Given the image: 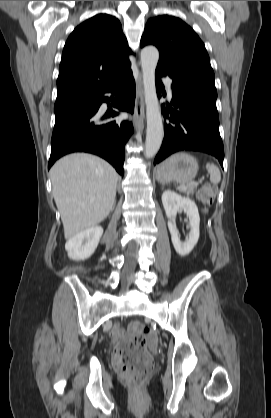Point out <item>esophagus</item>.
I'll list each match as a JSON object with an SVG mask.
<instances>
[{"instance_id": "obj_1", "label": "esophagus", "mask_w": 271, "mask_h": 418, "mask_svg": "<svg viewBox=\"0 0 271 418\" xmlns=\"http://www.w3.org/2000/svg\"><path fill=\"white\" fill-rule=\"evenodd\" d=\"M144 117L145 107L143 98L142 76L140 74L136 85V101L133 115V123L136 128L142 127Z\"/></svg>"}]
</instances>
